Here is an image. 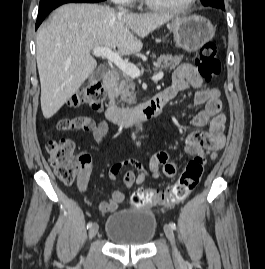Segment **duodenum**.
I'll return each mask as SVG.
<instances>
[{"mask_svg":"<svg viewBox=\"0 0 265 269\" xmlns=\"http://www.w3.org/2000/svg\"><path fill=\"white\" fill-rule=\"evenodd\" d=\"M118 74L109 69L103 78V86L106 89L109 104L105 111L106 119L116 125H130L140 120L156 116L163 107L162 94H157L148 101L131 109L120 108L114 103L116 82Z\"/></svg>","mask_w":265,"mask_h":269,"instance_id":"1","label":"duodenum"}]
</instances>
